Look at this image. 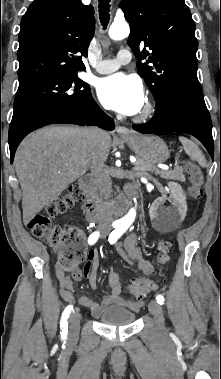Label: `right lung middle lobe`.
<instances>
[{
  "label": "right lung middle lobe",
  "instance_id": "1",
  "mask_svg": "<svg viewBox=\"0 0 221 379\" xmlns=\"http://www.w3.org/2000/svg\"><path fill=\"white\" fill-rule=\"evenodd\" d=\"M90 86L77 72L46 74L19 82L9 142L47 117L67 111L91 98Z\"/></svg>",
  "mask_w": 221,
  "mask_h": 379
}]
</instances>
